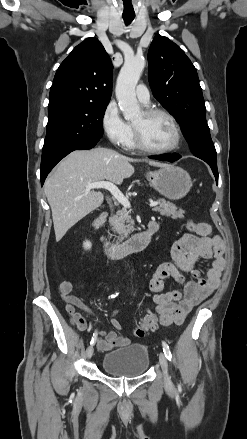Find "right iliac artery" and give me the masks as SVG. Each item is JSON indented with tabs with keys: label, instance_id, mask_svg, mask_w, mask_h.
<instances>
[{
	"label": "right iliac artery",
	"instance_id": "obj_1",
	"mask_svg": "<svg viewBox=\"0 0 247 439\" xmlns=\"http://www.w3.org/2000/svg\"><path fill=\"white\" fill-rule=\"evenodd\" d=\"M117 295H118V293L112 294V295L110 296V298H115ZM95 340H96V336L93 335L90 344H91V345L94 344V343H95Z\"/></svg>",
	"mask_w": 247,
	"mask_h": 439
}]
</instances>
